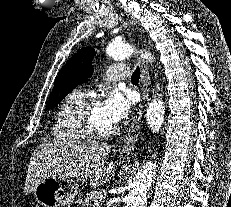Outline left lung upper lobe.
<instances>
[{
  "mask_svg": "<svg viewBox=\"0 0 231 207\" xmlns=\"http://www.w3.org/2000/svg\"><path fill=\"white\" fill-rule=\"evenodd\" d=\"M94 55L93 48H83L66 62L55 79L46 109L56 106L78 84L91 76Z\"/></svg>",
  "mask_w": 231,
  "mask_h": 207,
  "instance_id": "5c2ea615",
  "label": "left lung upper lobe"
}]
</instances>
